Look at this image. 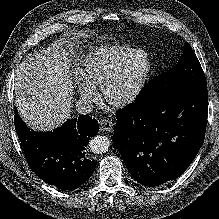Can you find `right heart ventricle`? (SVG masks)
<instances>
[{"label":"right heart ventricle","instance_id":"1","mask_svg":"<svg viewBox=\"0 0 219 219\" xmlns=\"http://www.w3.org/2000/svg\"><path fill=\"white\" fill-rule=\"evenodd\" d=\"M136 49L128 44H112L89 51L78 66L80 80L91 88H98L114 65Z\"/></svg>","mask_w":219,"mask_h":219}]
</instances>
